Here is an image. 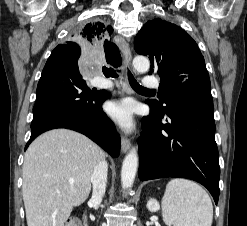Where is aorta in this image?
Here are the masks:
<instances>
[{"mask_svg":"<svg viewBox=\"0 0 247 226\" xmlns=\"http://www.w3.org/2000/svg\"><path fill=\"white\" fill-rule=\"evenodd\" d=\"M133 67L139 73H145L150 67L149 60L144 56H136L133 59ZM138 167V154L135 148L124 158L121 169V184L123 189L131 188L135 179Z\"/></svg>","mask_w":247,"mask_h":226,"instance_id":"aorta-1","label":"aorta"}]
</instances>
